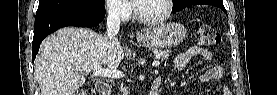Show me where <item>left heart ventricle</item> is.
I'll return each instance as SVG.
<instances>
[{"mask_svg":"<svg viewBox=\"0 0 277 95\" xmlns=\"http://www.w3.org/2000/svg\"><path fill=\"white\" fill-rule=\"evenodd\" d=\"M137 9L145 18H155L164 14L166 6L163 0H141L137 2Z\"/></svg>","mask_w":277,"mask_h":95,"instance_id":"b2bd125f","label":"left heart ventricle"}]
</instances>
